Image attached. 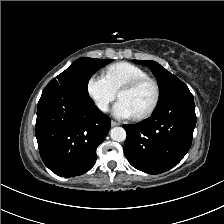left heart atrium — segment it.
I'll return each mask as SVG.
<instances>
[{
    "mask_svg": "<svg viewBox=\"0 0 224 224\" xmlns=\"http://www.w3.org/2000/svg\"><path fill=\"white\" fill-rule=\"evenodd\" d=\"M112 113L116 118L119 119H131L136 116L129 105L120 99L114 104Z\"/></svg>",
    "mask_w": 224,
    "mask_h": 224,
    "instance_id": "39dd6f15",
    "label": "left heart atrium"
}]
</instances>
